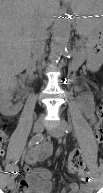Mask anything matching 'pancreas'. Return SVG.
<instances>
[{"instance_id":"obj_1","label":"pancreas","mask_w":103,"mask_h":193,"mask_svg":"<svg viewBox=\"0 0 103 193\" xmlns=\"http://www.w3.org/2000/svg\"><path fill=\"white\" fill-rule=\"evenodd\" d=\"M78 24H79V26L82 27L86 23L84 21H79ZM77 46H78V54H79V56L80 57H85V48L83 46V41L77 42Z\"/></svg>"}]
</instances>
